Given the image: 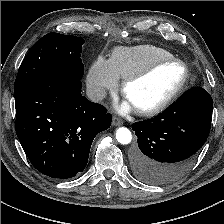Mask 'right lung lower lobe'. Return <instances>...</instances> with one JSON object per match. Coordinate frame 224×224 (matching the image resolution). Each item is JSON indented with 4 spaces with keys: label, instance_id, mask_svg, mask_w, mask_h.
<instances>
[{
    "label": "right lung lower lobe",
    "instance_id": "obj_1",
    "mask_svg": "<svg viewBox=\"0 0 224 224\" xmlns=\"http://www.w3.org/2000/svg\"><path fill=\"white\" fill-rule=\"evenodd\" d=\"M16 134L32 165L52 178L76 176L94 137L111 125L106 109L81 94V81L49 79L15 97Z\"/></svg>",
    "mask_w": 224,
    "mask_h": 224
}]
</instances>
